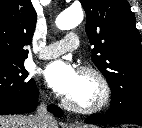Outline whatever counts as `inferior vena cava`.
<instances>
[{"label":"inferior vena cava","instance_id":"obj_1","mask_svg":"<svg viewBox=\"0 0 142 128\" xmlns=\"http://www.w3.org/2000/svg\"><path fill=\"white\" fill-rule=\"evenodd\" d=\"M36 128H55L56 120L52 114L47 111L45 104H40L34 115Z\"/></svg>","mask_w":142,"mask_h":128}]
</instances>
